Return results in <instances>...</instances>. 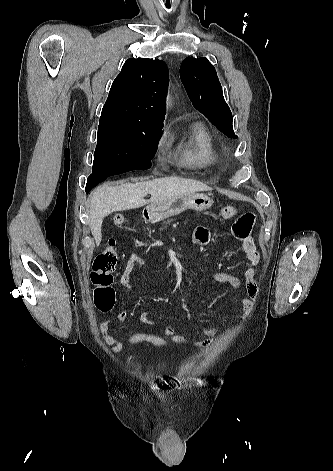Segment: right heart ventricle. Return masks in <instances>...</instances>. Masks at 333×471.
I'll return each mask as SVG.
<instances>
[{
    "label": "right heart ventricle",
    "instance_id": "e07e8e85",
    "mask_svg": "<svg viewBox=\"0 0 333 471\" xmlns=\"http://www.w3.org/2000/svg\"><path fill=\"white\" fill-rule=\"evenodd\" d=\"M177 150L182 161L194 167L211 165L218 158L213 136L201 123H196L189 133L180 139Z\"/></svg>",
    "mask_w": 333,
    "mask_h": 471
}]
</instances>
